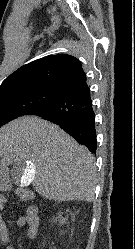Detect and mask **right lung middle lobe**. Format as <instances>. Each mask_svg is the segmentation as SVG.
I'll return each instance as SVG.
<instances>
[{
  "label": "right lung middle lobe",
  "mask_w": 135,
  "mask_h": 249,
  "mask_svg": "<svg viewBox=\"0 0 135 249\" xmlns=\"http://www.w3.org/2000/svg\"><path fill=\"white\" fill-rule=\"evenodd\" d=\"M59 94L54 91H30L0 95V127L19 116L28 115L32 110L53 100Z\"/></svg>",
  "instance_id": "1"
}]
</instances>
